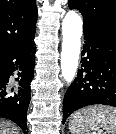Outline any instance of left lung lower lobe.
Here are the masks:
<instances>
[{
    "instance_id": "obj_1",
    "label": "left lung lower lobe",
    "mask_w": 116,
    "mask_h": 134,
    "mask_svg": "<svg viewBox=\"0 0 116 134\" xmlns=\"http://www.w3.org/2000/svg\"><path fill=\"white\" fill-rule=\"evenodd\" d=\"M81 69L63 100V124L74 111L101 104L116 107V31L84 27Z\"/></svg>"
}]
</instances>
